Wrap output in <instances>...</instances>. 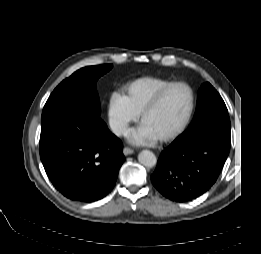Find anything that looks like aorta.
<instances>
[{
    "instance_id": "aorta-1",
    "label": "aorta",
    "mask_w": 261,
    "mask_h": 254,
    "mask_svg": "<svg viewBox=\"0 0 261 254\" xmlns=\"http://www.w3.org/2000/svg\"><path fill=\"white\" fill-rule=\"evenodd\" d=\"M138 161L141 165L152 168L156 165L157 159L153 152L149 150L141 151L138 154Z\"/></svg>"
}]
</instances>
